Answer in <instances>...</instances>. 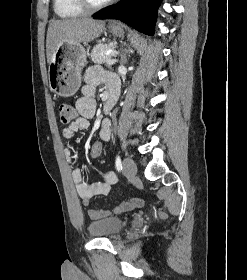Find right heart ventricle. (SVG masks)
<instances>
[{"mask_svg":"<svg viewBox=\"0 0 247 280\" xmlns=\"http://www.w3.org/2000/svg\"><path fill=\"white\" fill-rule=\"evenodd\" d=\"M54 11L63 19L76 18L85 13L76 0H54Z\"/></svg>","mask_w":247,"mask_h":280,"instance_id":"e07e8e85","label":"right heart ventricle"}]
</instances>
